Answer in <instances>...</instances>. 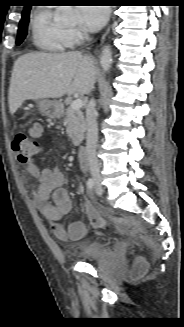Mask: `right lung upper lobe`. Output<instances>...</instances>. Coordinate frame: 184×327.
<instances>
[{"instance_id":"obj_1","label":"right lung upper lobe","mask_w":184,"mask_h":327,"mask_svg":"<svg viewBox=\"0 0 184 327\" xmlns=\"http://www.w3.org/2000/svg\"><path fill=\"white\" fill-rule=\"evenodd\" d=\"M30 8H31V6L26 5V6L24 7L23 13H24V12H27V11H30Z\"/></svg>"}]
</instances>
